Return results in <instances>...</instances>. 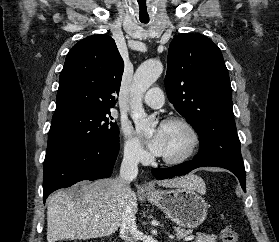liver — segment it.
<instances>
[{
	"instance_id": "obj_1",
	"label": "liver",
	"mask_w": 279,
	"mask_h": 242,
	"mask_svg": "<svg viewBox=\"0 0 279 242\" xmlns=\"http://www.w3.org/2000/svg\"><path fill=\"white\" fill-rule=\"evenodd\" d=\"M119 179L81 182L80 197L70 191L51 195L47 201V241L92 239L115 233L122 214ZM157 183L163 187H188L200 193L206 192L203 180L194 175ZM132 208L136 213L138 204L134 192Z\"/></svg>"
}]
</instances>
